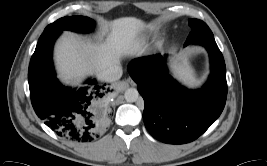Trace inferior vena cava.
Returning a JSON list of instances; mask_svg holds the SVG:
<instances>
[{
    "label": "inferior vena cava",
    "instance_id": "602c4592",
    "mask_svg": "<svg viewBox=\"0 0 267 166\" xmlns=\"http://www.w3.org/2000/svg\"><path fill=\"white\" fill-rule=\"evenodd\" d=\"M122 68L119 65H114L99 73V78L105 82H113L121 78Z\"/></svg>",
    "mask_w": 267,
    "mask_h": 166
}]
</instances>
